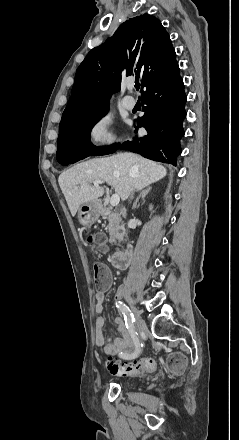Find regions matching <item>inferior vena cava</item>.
Wrapping results in <instances>:
<instances>
[{"label": "inferior vena cava", "instance_id": "602c4592", "mask_svg": "<svg viewBox=\"0 0 239 440\" xmlns=\"http://www.w3.org/2000/svg\"><path fill=\"white\" fill-rule=\"evenodd\" d=\"M132 198H133V194H131V196H130V200H132Z\"/></svg>", "mask_w": 239, "mask_h": 440}]
</instances>
